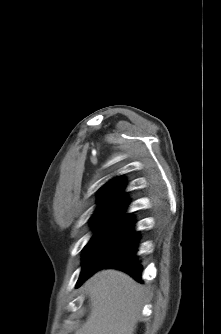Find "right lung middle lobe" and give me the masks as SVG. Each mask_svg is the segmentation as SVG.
<instances>
[{"instance_id": "right-lung-middle-lobe-1", "label": "right lung middle lobe", "mask_w": 221, "mask_h": 334, "mask_svg": "<svg viewBox=\"0 0 221 334\" xmlns=\"http://www.w3.org/2000/svg\"><path fill=\"white\" fill-rule=\"evenodd\" d=\"M95 234L84 248L83 268L78 282L105 266L137 236L131 216L94 217Z\"/></svg>"}]
</instances>
